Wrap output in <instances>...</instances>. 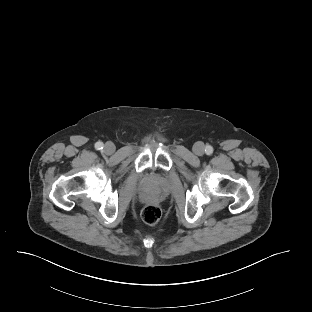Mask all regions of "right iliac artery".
I'll use <instances>...</instances> for the list:
<instances>
[{
  "mask_svg": "<svg viewBox=\"0 0 312 312\" xmlns=\"http://www.w3.org/2000/svg\"><path fill=\"white\" fill-rule=\"evenodd\" d=\"M103 147H104V145H103L102 142H97V143L95 144V148H96L97 150H101V149H103Z\"/></svg>",
  "mask_w": 312,
  "mask_h": 312,
  "instance_id": "obj_1",
  "label": "right iliac artery"
}]
</instances>
